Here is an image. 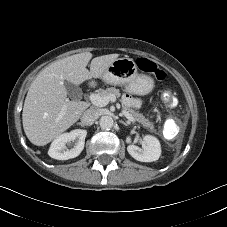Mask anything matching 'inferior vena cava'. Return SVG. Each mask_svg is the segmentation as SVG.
I'll return each instance as SVG.
<instances>
[{
	"instance_id": "inferior-vena-cava-1",
	"label": "inferior vena cava",
	"mask_w": 227,
	"mask_h": 227,
	"mask_svg": "<svg viewBox=\"0 0 227 227\" xmlns=\"http://www.w3.org/2000/svg\"><path fill=\"white\" fill-rule=\"evenodd\" d=\"M98 116L97 110L88 109L81 116V123L84 124V126H90L97 120Z\"/></svg>"
}]
</instances>
